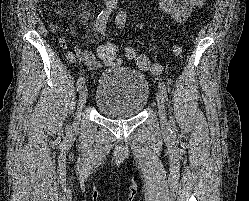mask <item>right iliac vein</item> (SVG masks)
I'll return each instance as SVG.
<instances>
[{
	"instance_id": "1",
	"label": "right iliac vein",
	"mask_w": 249,
	"mask_h": 201,
	"mask_svg": "<svg viewBox=\"0 0 249 201\" xmlns=\"http://www.w3.org/2000/svg\"><path fill=\"white\" fill-rule=\"evenodd\" d=\"M86 99H87V89L82 88L80 90L79 99H78V117H80V115H81V111L85 106Z\"/></svg>"
}]
</instances>
